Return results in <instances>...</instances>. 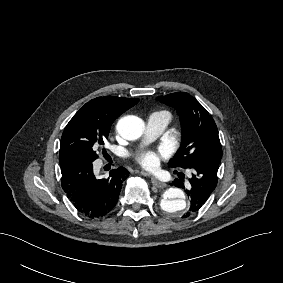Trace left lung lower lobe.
<instances>
[{"label": "left lung lower lobe", "mask_w": 283, "mask_h": 283, "mask_svg": "<svg viewBox=\"0 0 283 283\" xmlns=\"http://www.w3.org/2000/svg\"><path fill=\"white\" fill-rule=\"evenodd\" d=\"M221 158L205 157L193 163L188 169L193 171L189 179L191 189L186 190L190 198L189 210L183 218L196 213L207 201L217 185V171Z\"/></svg>", "instance_id": "left-lung-lower-lobe-1"}]
</instances>
